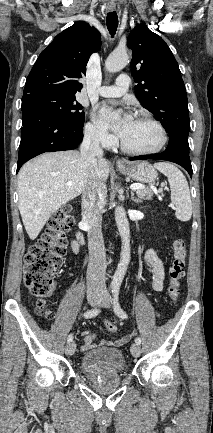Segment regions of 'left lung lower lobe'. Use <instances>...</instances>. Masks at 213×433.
<instances>
[{
    "label": "left lung lower lobe",
    "instance_id": "left-lung-lower-lobe-1",
    "mask_svg": "<svg viewBox=\"0 0 213 433\" xmlns=\"http://www.w3.org/2000/svg\"><path fill=\"white\" fill-rule=\"evenodd\" d=\"M146 159H157L166 160L181 165L192 177V166L189 157V147L180 143L172 142L169 143L166 150L162 153L146 156H136L130 158V160H146Z\"/></svg>",
    "mask_w": 213,
    "mask_h": 433
}]
</instances>
